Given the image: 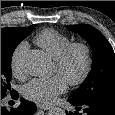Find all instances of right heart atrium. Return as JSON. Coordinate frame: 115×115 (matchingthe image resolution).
Returning <instances> with one entry per match:
<instances>
[{"label":"right heart atrium","instance_id":"obj_1","mask_svg":"<svg viewBox=\"0 0 115 115\" xmlns=\"http://www.w3.org/2000/svg\"><path fill=\"white\" fill-rule=\"evenodd\" d=\"M28 50V44L26 42H20L13 50L10 57V69L12 75L18 79L24 77V56Z\"/></svg>","mask_w":115,"mask_h":115}]
</instances>
